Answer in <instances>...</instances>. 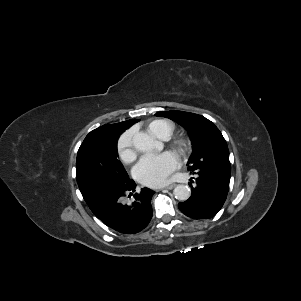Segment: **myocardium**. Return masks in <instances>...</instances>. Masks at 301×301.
Returning <instances> with one entry per match:
<instances>
[{
    "mask_svg": "<svg viewBox=\"0 0 301 301\" xmlns=\"http://www.w3.org/2000/svg\"><path fill=\"white\" fill-rule=\"evenodd\" d=\"M174 148L180 155L186 156L190 152L191 146L188 140L179 139L174 143Z\"/></svg>",
    "mask_w": 301,
    "mask_h": 301,
    "instance_id": "myocardium-1",
    "label": "myocardium"
}]
</instances>
